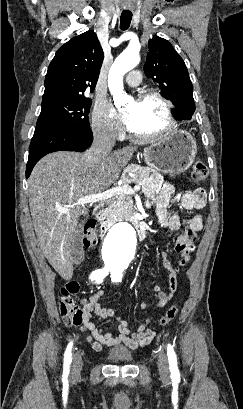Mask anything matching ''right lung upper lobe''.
Listing matches in <instances>:
<instances>
[{"label":"right lung upper lobe","instance_id":"right-lung-upper-lobe-1","mask_svg":"<svg viewBox=\"0 0 243 409\" xmlns=\"http://www.w3.org/2000/svg\"><path fill=\"white\" fill-rule=\"evenodd\" d=\"M104 54L96 34L87 31L56 52L45 77L42 101L83 96L96 86Z\"/></svg>","mask_w":243,"mask_h":409}]
</instances>
